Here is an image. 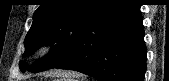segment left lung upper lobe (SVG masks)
<instances>
[{"mask_svg": "<svg viewBox=\"0 0 169 81\" xmlns=\"http://www.w3.org/2000/svg\"><path fill=\"white\" fill-rule=\"evenodd\" d=\"M114 0H43L33 15L24 41L23 57L42 45L52 46L46 57L29 66L20 61L22 72H41L56 67L71 54L85 28Z\"/></svg>", "mask_w": 169, "mask_h": 81, "instance_id": "obj_1", "label": "left lung upper lobe"}]
</instances>
